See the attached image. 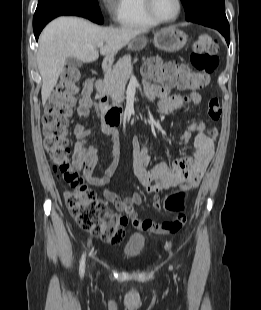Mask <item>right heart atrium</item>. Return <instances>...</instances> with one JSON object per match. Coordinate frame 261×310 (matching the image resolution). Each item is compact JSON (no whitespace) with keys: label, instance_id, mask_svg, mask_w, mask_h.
<instances>
[{"label":"right heart atrium","instance_id":"1","mask_svg":"<svg viewBox=\"0 0 261 310\" xmlns=\"http://www.w3.org/2000/svg\"><path fill=\"white\" fill-rule=\"evenodd\" d=\"M100 4L107 12H110L111 0H100Z\"/></svg>","mask_w":261,"mask_h":310}]
</instances>
